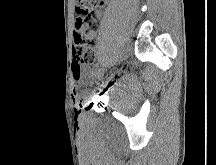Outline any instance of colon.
<instances>
[{"instance_id":"5ec220e1","label":"colon","mask_w":216,"mask_h":165,"mask_svg":"<svg viewBox=\"0 0 216 165\" xmlns=\"http://www.w3.org/2000/svg\"><path fill=\"white\" fill-rule=\"evenodd\" d=\"M105 0H78L74 27V60L81 66H93L96 61L95 30L101 18Z\"/></svg>"}]
</instances>
